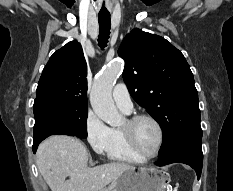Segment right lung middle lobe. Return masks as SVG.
<instances>
[{"label":"right lung middle lobe","instance_id":"1","mask_svg":"<svg viewBox=\"0 0 233 191\" xmlns=\"http://www.w3.org/2000/svg\"><path fill=\"white\" fill-rule=\"evenodd\" d=\"M33 111L34 139L53 134L87 137V106L40 100L34 102Z\"/></svg>","mask_w":233,"mask_h":191}]
</instances>
